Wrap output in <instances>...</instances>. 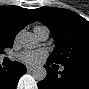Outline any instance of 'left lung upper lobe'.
Wrapping results in <instances>:
<instances>
[{
    "label": "left lung upper lobe",
    "mask_w": 89,
    "mask_h": 89,
    "mask_svg": "<svg viewBox=\"0 0 89 89\" xmlns=\"http://www.w3.org/2000/svg\"><path fill=\"white\" fill-rule=\"evenodd\" d=\"M35 18L46 25L54 38L55 48L48 58L64 67H89V22L80 15L61 8L33 9Z\"/></svg>",
    "instance_id": "5c2ea615"
}]
</instances>
